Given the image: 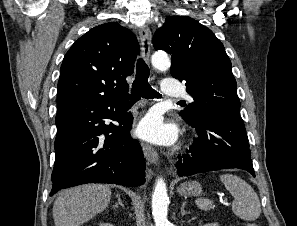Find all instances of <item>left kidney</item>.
I'll list each match as a JSON object with an SVG mask.
<instances>
[{"instance_id":"1","label":"left kidney","mask_w":297,"mask_h":226,"mask_svg":"<svg viewBox=\"0 0 297 226\" xmlns=\"http://www.w3.org/2000/svg\"><path fill=\"white\" fill-rule=\"evenodd\" d=\"M203 226H219L217 223H208V224H205Z\"/></svg>"}]
</instances>
